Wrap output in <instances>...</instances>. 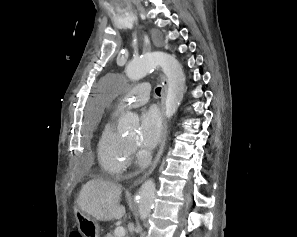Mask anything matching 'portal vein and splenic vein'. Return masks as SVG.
<instances>
[{
	"mask_svg": "<svg viewBox=\"0 0 297 237\" xmlns=\"http://www.w3.org/2000/svg\"><path fill=\"white\" fill-rule=\"evenodd\" d=\"M114 234L116 237H124L126 234V231L122 226H120L115 229Z\"/></svg>",
	"mask_w": 297,
	"mask_h": 237,
	"instance_id": "1",
	"label": "portal vein and splenic vein"
}]
</instances>
